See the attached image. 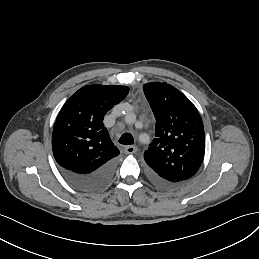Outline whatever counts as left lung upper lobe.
Returning a JSON list of instances; mask_svg holds the SVG:
<instances>
[{
  "label": "left lung upper lobe",
  "instance_id": "5c2ea615",
  "mask_svg": "<svg viewBox=\"0 0 259 259\" xmlns=\"http://www.w3.org/2000/svg\"><path fill=\"white\" fill-rule=\"evenodd\" d=\"M143 90L156 118V137L144 153L148 172L159 181L185 183L204 159L201 116L194 104L170 84L147 83Z\"/></svg>",
  "mask_w": 259,
  "mask_h": 259
}]
</instances>
